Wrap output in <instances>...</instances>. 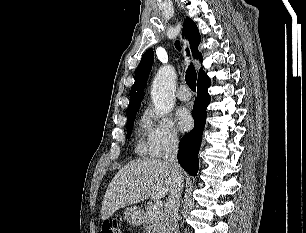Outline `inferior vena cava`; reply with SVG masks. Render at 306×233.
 Here are the masks:
<instances>
[{
  "label": "inferior vena cava",
  "mask_w": 306,
  "mask_h": 233,
  "mask_svg": "<svg viewBox=\"0 0 306 233\" xmlns=\"http://www.w3.org/2000/svg\"><path fill=\"white\" fill-rule=\"evenodd\" d=\"M178 143L177 136L172 135L164 147L163 161L172 173V183L165 208L166 233H178L177 217L184 181L182 169L177 161Z\"/></svg>",
  "instance_id": "602c4592"
}]
</instances>
